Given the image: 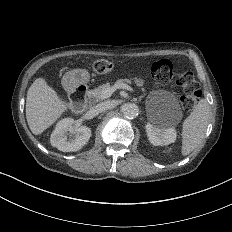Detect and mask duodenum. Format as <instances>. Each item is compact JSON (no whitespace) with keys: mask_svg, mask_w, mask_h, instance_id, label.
I'll return each mask as SVG.
<instances>
[{"mask_svg":"<svg viewBox=\"0 0 232 232\" xmlns=\"http://www.w3.org/2000/svg\"><path fill=\"white\" fill-rule=\"evenodd\" d=\"M65 88L70 94L73 111L76 113L83 111L88 93L87 85L79 78H71L65 82Z\"/></svg>","mask_w":232,"mask_h":232,"instance_id":"duodenum-1","label":"duodenum"}]
</instances>
